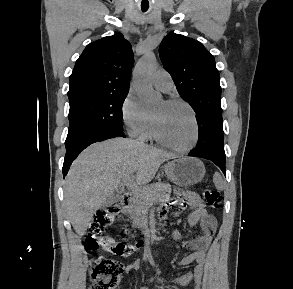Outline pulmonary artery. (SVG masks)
<instances>
[{"label":"pulmonary artery","instance_id":"1","mask_svg":"<svg viewBox=\"0 0 293 289\" xmlns=\"http://www.w3.org/2000/svg\"><path fill=\"white\" fill-rule=\"evenodd\" d=\"M153 83L157 89L163 92H169L174 87L170 74L165 70H159L155 73Z\"/></svg>","mask_w":293,"mask_h":289}]
</instances>
